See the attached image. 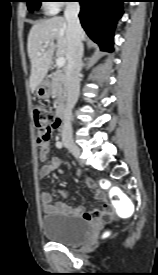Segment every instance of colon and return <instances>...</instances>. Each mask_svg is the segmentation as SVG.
<instances>
[{
    "label": "colon",
    "mask_w": 158,
    "mask_h": 275,
    "mask_svg": "<svg viewBox=\"0 0 158 275\" xmlns=\"http://www.w3.org/2000/svg\"><path fill=\"white\" fill-rule=\"evenodd\" d=\"M34 125L37 133V141L48 142L51 133L59 126V121L50 110L41 104H37L33 108ZM105 188H109L108 184H104ZM112 200H120L121 193L118 190L111 188ZM113 211L110 207H106L102 213L101 218L110 219Z\"/></svg>",
    "instance_id": "1"
}]
</instances>
